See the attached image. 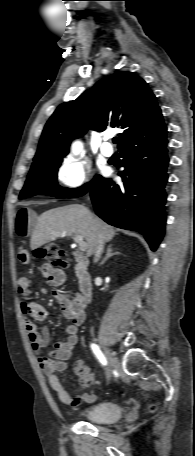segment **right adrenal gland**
I'll list each match as a JSON object with an SVG mask.
<instances>
[{
    "label": "right adrenal gland",
    "instance_id": "right-adrenal-gland-1",
    "mask_svg": "<svg viewBox=\"0 0 195 456\" xmlns=\"http://www.w3.org/2000/svg\"><path fill=\"white\" fill-rule=\"evenodd\" d=\"M119 254H120V252H114V251H113V245H112V244L108 245L107 250H106V256H105V258L102 260L101 264L105 263V261H106L107 259H109L110 257H112V256H114V255H119Z\"/></svg>",
    "mask_w": 195,
    "mask_h": 456
}]
</instances>
